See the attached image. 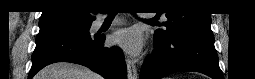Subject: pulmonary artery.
I'll return each mask as SVG.
<instances>
[{
	"instance_id": "pulmonary-artery-1",
	"label": "pulmonary artery",
	"mask_w": 255,
	"mask_h": 79,
	"mask_svg": "<svg viewBox=\"0 0 255 79\" xmlns=\"http://www.w3.org/2000/svg\"><path fill=\"white\" fill-rule=\"evenodd\" d=\"M145 16H148V15H145ZM102 22H103V20H101V19H99V20L97 21V23H98L99 25H101Z\"/></svg>"
}]
</instances>
